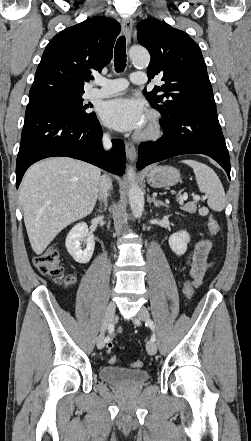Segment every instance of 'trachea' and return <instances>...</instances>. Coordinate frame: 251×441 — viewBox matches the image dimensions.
Masks as SVG:
<instances>
[{
	"mask_svg": "<svg viewBox=\"0 0 251 441\" xmlns=\"http://www.w3.org/2000/svg\"><path fill=\"white\" fill-rule=\"evenodd\" d=\"M114 66L116 72H122L126 67V39L124 36H120L116 42Z\"/></svg>",
	"mask_w": 251,
	"mask_h": 441,
	"instance_id": "1",
	"label": "trachea"
}]
</instances>
